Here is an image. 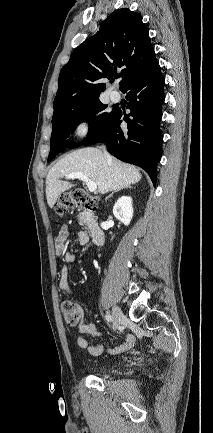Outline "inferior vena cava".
<instances>
[{
	"label": "inferior vena cava",
	"mask_w": 213,
	"mask_h": 433,
	"mask_svg": "<svg viewBox=\"0 0 213 433\" xmlns=\"http://www.w3.org/2000/svg\"><path fill=\"white\" fill-rule=\"evenodd\" d=\"M103 153H104V155H105L106 157H109V154L107 153L105 147H103Z\"/></svg>",
	"instance_id": "inferior-vena-cava-1"
}]
</instances>
